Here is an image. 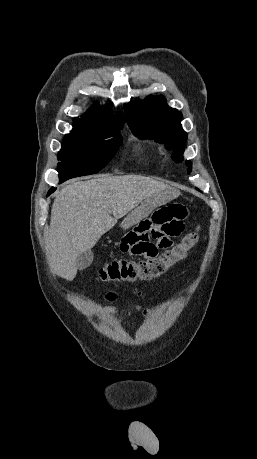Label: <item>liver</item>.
<instances>
[{"mask_svg": "<svg viewBox=\"0 0 257 459\" xmlns=\"http://www.w3.org/2000/svg\"><path fill=\"white\" fill-rule=\"evenodd\" d=\"M167 187L141 175L104 176L64 187L52 205L47 236L52 271L72 281L77 274L79 254L91 251L117 219Z\"/></svg>", "mask_w": 257, "mask_h": 459, "instance_id": "obj_1", "label": "liver"}]
</instances>
